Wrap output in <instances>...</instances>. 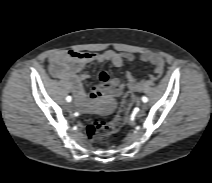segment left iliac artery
I'll return each mask as SVG.
<instances>
[{"mask_svg": "<svg viewBox=\"0 0 212 183\" xmlns=\"http://www.w3.org/2000/svg\"><path fill=\"white\" fill-rule=\"evenodd\" d=\"M142 101H143L144 103H146V102L148 101V98L145 97V96H143V97H142Z\"/></svg>", "mask_w": 212, "mask_h": 183, "instance_id": "44dca946", "label": "left iliac artery"}]
</instances>
